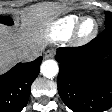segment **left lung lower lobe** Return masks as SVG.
I'll use <instances>...</instances> for the list:
<instances>
[{"instance_id": "left-lung-lower-lobe-1", "label": "left lung lower lobe", "mask_w": 112, "mask_h": 112, "mask_svg": "<svg viewBox=\"0 0 112 112\" xmlns=\"http://www.w3.org/2000/svg\"><path fill=\"white\" fill-rule=\"evenodd\" d=\"M55 58L60 63L58 92L72 111L112 107V27L84 46L58 48Z\"/></svg>"}]
</instances>
